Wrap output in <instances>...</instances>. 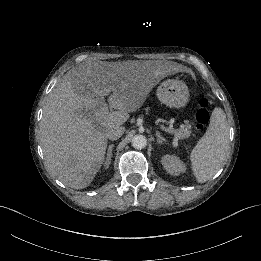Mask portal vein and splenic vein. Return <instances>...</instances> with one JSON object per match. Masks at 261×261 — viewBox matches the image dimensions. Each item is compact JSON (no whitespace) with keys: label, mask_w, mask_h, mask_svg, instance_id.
Listing matches in <instances>:
<instances>
[{"label":"portal vein and splenic vein","mask_w":261,"mask_h":261,"mask_svg":"<svg viewBox=\"0 0 261 261\" xmlns=\"http://www.w3.org/2000/svg\"><path fill=\"white\" fill-rule=\"evenodd\" d=\"M161 128L163 129V130H165V131H167V132H170V130L169 129H166L164 126H161ZM177 136H179V138H182V135H181V133H177ZM178 138L177 137H174L173 138V141H172V144H171V147L172 148H175V147H177L178 146Z\"/></svg>","instance_id":"portal-vein-and-splenic-vein-1"}]
</instances>
